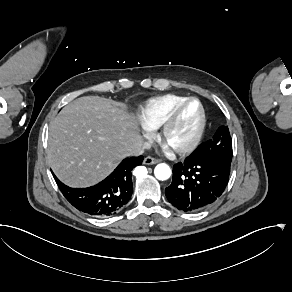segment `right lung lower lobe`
Returning a JSON list of instances; mask_svg holds the SVG:
<instances>
[{
    "label": "right lung lower lobe",
    "mask_w": 292,
    "mask_h": 292,
    "mask_svg": "<svg viewBox=\"0 0 292 292\" xmlns=\"http://www.w3.org/2000/svg\"><path fill=\"white\" fill-rule=\"evenodd\" d=\"M143 156L124 159L100 183L88 188H71L53 174L64 197L79 211L94 217L116 214L132 195V169L142 164Z\"/></svg>",
    "instance_id": "right-lung-lower-lobe-1"
}]
</instances>
